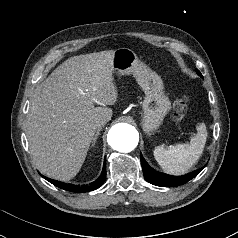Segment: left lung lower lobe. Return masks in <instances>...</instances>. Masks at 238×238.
I'll return each instance as SVG.
<instances>
[{"label": "left lung lower lobe", "instance_id": "left-lung-lower-lobe-1", "mask_svg": "<svg viewBox=\"0 0 238 238\" xmlns=\"http://www.w3.org/2000/svg\"><path fill=\"white\" fill-rule=\"evenodd\" d=\"M143 174L145 179L156 186H163V187H176L183 185L194 178L203 168L198 169L194 172H191L184 176H171L161 172H158L152 169L144 160L142 156H140Z\"/></svg>", "mask_w": 238, "mask_h": 238}]
</instances>
